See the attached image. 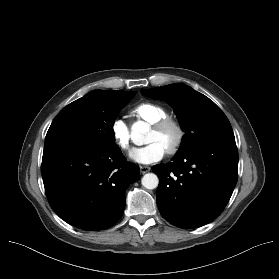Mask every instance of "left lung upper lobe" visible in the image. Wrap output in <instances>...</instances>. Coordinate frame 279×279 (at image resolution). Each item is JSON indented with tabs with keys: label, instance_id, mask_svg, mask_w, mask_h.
Instances as JSON below:
<instances>
[{
	"label": "left lung upper lobe",
	"instance_id": "left-lung-upper-lobe-1",
	"mask_svg": "<svg viewBox=\"0 0 279 279\" xmlns=\"http://www.w3.org/2000/svg\"><path fill=\"white\" fill-rule=\"evenodd\" d=\"M144 96L167 101L185 132L176 155H183L192 148L207 142L235 141L229 120L222 110L208 97L182 83L153 89H141Z\"/></svg>",
	"mask_w": 279,
	"mask_h": 279
}]
</instances>
